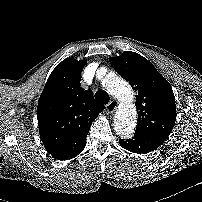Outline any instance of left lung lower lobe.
<instances>
[{
    "mask_svg": "<svg viewBox=\"0 0 202 202\" xmlns=\"http://www.w3.org/2000/svg\"><path fill=\"white\" fill-rule=\"evenodd\" d=\"M165 141L159 137L135 134L131 139H119V144L128 151L146 154L157 149Z\"/></svg>",
    "mask_w": 202,
    "mask_h": 202,
    "instance_id": "0a47b994",
    "label": "left lung lower lobe"
}]
</instances>
